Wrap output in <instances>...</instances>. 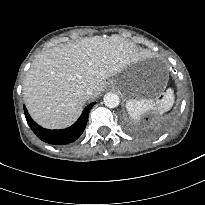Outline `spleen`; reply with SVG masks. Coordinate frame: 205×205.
<instances>
[{"label": "spleen", "instance_id": "spleen-1", "mask_svg": "<svg viewBox=\"0 0 205 205\" xmlns=\"http://www.w3.org/2000/svg\"><path fill=\"white\" fill-rule=\"evenodd\" d=\"M174 103V93L171 88H168L165 95L160 100H152V99H132L126 102V108L128 110L129 115L133 119L139 118L145 112L151 110H169Z\"/></svg>", "mask_w": 205, "mask_h": 205}]
</instances>
